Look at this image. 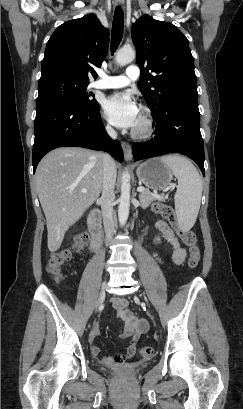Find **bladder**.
Masks as SVG:
<instances>
[{
    "label": "bladder",
    "mask_w": 243,
    "mask_h": 409,
    "mask_svg": "<svg viewBox=\"0 0 243 409\" xmlns=\"http://www.w3.org/2000/svg\"><path fill=\"white\" fill-rule=\"evenodd\" d=\"M140 369H142V366L125 364V365H122L119 367H113V368L103 367L102 371H105L111 374H122V373L134 374V373H137Z\"/></svg>",
    "instance_id": "31cf9c89"
}]
</instances>
